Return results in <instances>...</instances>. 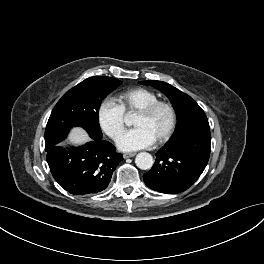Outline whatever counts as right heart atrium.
Listing matches in <instances>:
<instances>
[{
  "label": "right heart atrium",
  "instance_id": "right-heart-atrium-1",
  "mask_svg": "<svg viewBox=\"0 0 264 264\" xmlns=\"http://www.w3.org/2000/svg\"><path fill=\"white\" fill-rule=\"evenodd\" d=\"M97 120L100 128L114 140H117L125 129V112L112 98H106L100 103Z\"/></svg>",
  "mask_w": 264,
  "mask_h": 264
}]
</instances>
